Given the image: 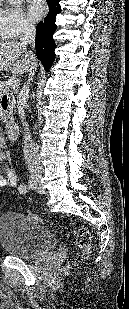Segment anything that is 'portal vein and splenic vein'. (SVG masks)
Masks as SVG:
<instances>
[{
	"instance_id": "obj_1",
	"label": "portal vein and splenic vein",
	"mask_w": 129,
	"mask_h": 309,
	"mask_svg": "<svg viewBox=\"0 0 129 309\" xmlns=\"http://www.w3.org/2000/svg\"><path fill=\"white\" fill-rule=\"evenodd\" d=\"M18 85H19V80L15 77H11L6 82V86H8L10 88H16Z\"/></svg>"
}]
</instances>
